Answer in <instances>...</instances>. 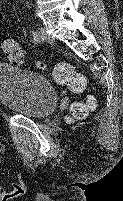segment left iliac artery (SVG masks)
<instances>
[{"mask_svg": "<svg viewBox=\"0 0 123 201\" xmlns=\"http://www.w3.org/2000/svg\"><path fill=\"white\" fill-rule=\"evenodd\" d=\"M33 38L35 41H39V33L38 31L33 32Z\"/></svg>", "mask_w": 123, "mask_h": 201, "instance_id": "left-iliac-artery-1", "label": "left iliac artery"}]
</instances>
